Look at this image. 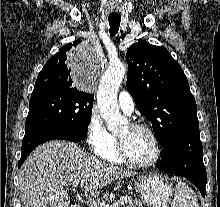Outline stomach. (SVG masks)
<instances>
[{
    "label": "stomach",
    "instance_id": "obj_1",
    "mask_svg": "<svg viewBox=\"0 0 220 207\" xmlns=\"http://www.w3.org/2000/svg\"><path fill=\"white\" fill-rule=\"evenodd\" d=\"M134 184L143 202L150 207H167L172 200V185L159 174L140 176Z\"/></svg>",
    "mask_w": 220,
    "mask_h": 207
}]
</instances>
